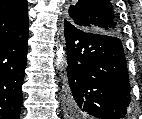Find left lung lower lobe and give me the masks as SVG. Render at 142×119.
Instances as JSON below:
<instances>
[{
  "mask_svg": "<svg viewBox=\"0 0 142 119\" xmlns=\"http://www.w3.org/2000/svg\"><path fill=\"white\" fill-rule=\"evenodd\" d=\"M67 107L96 119H126L131 95L125 54L117 36L96 34L64 20Z\"/></svg>",
  "mask_w": 142,
  "mask_h": 119,
  "instance_id": "left-lung-lower-lobe-1",
  "label": "left lung lower lobe"
}]
</instances>
